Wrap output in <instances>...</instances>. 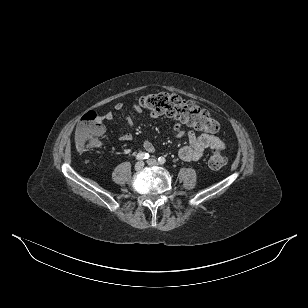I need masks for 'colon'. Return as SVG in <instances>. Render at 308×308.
Listing matches in <instances>:
<instances>
[{"mask_svg": "<svg viewBox=\"0 0 308 308\" xmlns=\"http://www.w3.org/2000/svg\"><path fill=\"white\" fill-rule=\"evenodd\" d=\"M140 105L156 115H166L190 125L207 134H216L219 123L208 111L181 97L168 93L149 94L140 99ZM104 133L103 123L94 111L86 112L75 130V142L79 149L100 147L99 138ZM226 163L223 149H213L208 165L212 170L221 169Z\"/></svg>", "mask_w": 308, "mask_h": 308, "instance_id": "1", "label": "colon"}]
</instances>
